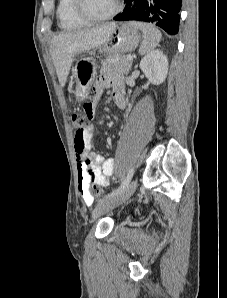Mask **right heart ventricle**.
<instances>
[{"instance_id":"obj_1","label":"right heart ventricle","mask_w":227,"mask_h":298,"mask_svg":"<svg viewBox=\"0 0 227 298\" xmlns=\"http://www.w3.org/2000/svg\"><path fill=\"white\" fill-rule=\"evenodd\" d=\"M57 16L60 27L64 30L79 29L86 27L89 24L76 13L75 0H59Z\"/></svg>"}]
</instances>
